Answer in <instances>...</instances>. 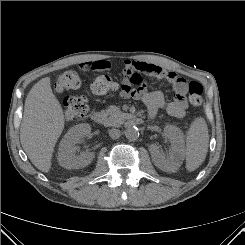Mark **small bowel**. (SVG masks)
Segmentation results:
<instances>
[{"label": "small bowel", "mask_w": 245, "mask_h": 245, "mask_svg": "<svg viewBox=\"0 0 245 245\" xmlns=\"http://www.w3.org/2000/svg\"><path fill=\"white\" fill-rule=\"evenodd\" d=\"M84 70H110L112 63L107 60L85 61L81 63ZM135 75H139L142 80L136 83L133 80ZM143 77H156L165 79L174 90V98L165 104V98L161 91H148ZM188 84L187 81L179 77L176 73L167 71L159 65L143 61L125 60L124 78L118 89L120 98H133L142 101L148 109L150 116H154L159 109L166 106L167 113L175 118H182L188 107L187 101Z\"/></svg>", "instance_id": "1"}]
</instances>
